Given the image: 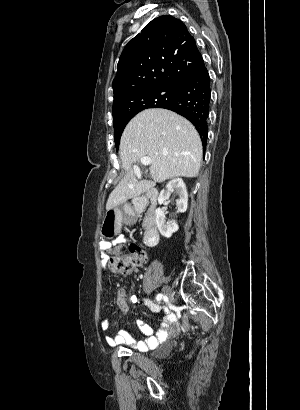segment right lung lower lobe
Returning a JSON list of instances; mask_svg holds the SVG:
<instances>
[{"instance_id":"right-lung-lower-lobe-1","label":"right lung lower lobe","mask_w":300,"mask_h":410,"mask_svg":"<svg viewBox=\"0 0 300 410\" xmlns=\"http://www.w3.org/2000/svg\"><path fill=\"white\" fill-rule=\"evenodd\" d=\"M210 100V78L202 62L183 80L174 98L160 108L172 110L187 118L195 126L205 148Z\"/></svg>"}]
</instances>
